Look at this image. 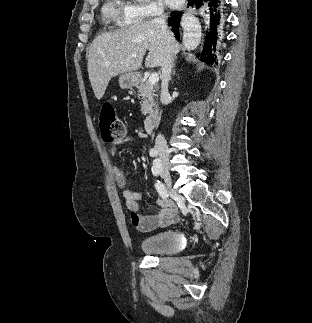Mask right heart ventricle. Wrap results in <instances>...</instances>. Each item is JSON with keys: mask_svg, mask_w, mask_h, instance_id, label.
Segmentation results:
<instances>
[{"mask_svg": "<svg viewBox=\"0 0 312 323\" xmlns=\"http://www.w3.org/2000/svg\"><path fill=\"white\" fill-rule=\"evenodd\" d=\"M99 20H118L120 15L118 13H113L111 5H102L99 9Z\"/></svg>", "mask_w": 312, "mask_h": 323, "instance_id": "right-heart-ventricle-1", "label": "right heart ventricle"}]
</instances>
